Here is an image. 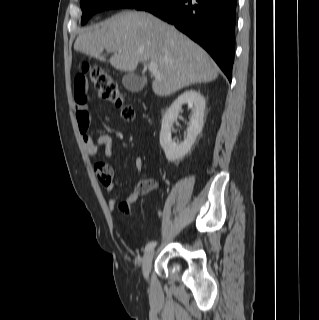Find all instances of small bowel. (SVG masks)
<instances>
[{"label": "small bowel", "instance_id": "1", "mask_svg": "<svg viewBox=\"0 0 319 320\" xmlns=\"http://www.w3.org/2000/svg\"><path fill=\"white\" fill-rule=\"evenodd\" d=\"M75 119L82 135V141L84 144L85 152L88 156L93 157L97 154L98 149L101 147L104 150V154L108 158H115L121 156V153L116 151L113 147V140L109 134H100L95 140L88 133V128L91 122V114L88 108L87 89L86 85L75 87ZM103 163V162H99ZM135 167L138 171L143 169V159L141 157L135 158ZM97 177L104 176V180L101 181L106 191L112 192L117 187L124 186L117 177L114 176L112 169L108 171L97 172ZM137 200V194L131 193L126 196L125 202L132 204ZM118 200L112 198L109 200V205L114 207Z\"/></svg>", "mask_w": 319, "mask_h": 320}]
</instances>
